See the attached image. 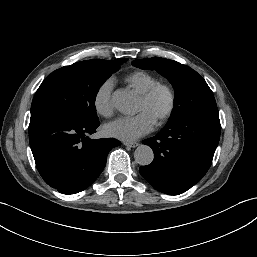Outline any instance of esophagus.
<instances>
[{
	"label": "esophagus",
	"instance_id": "obj_1",
	"mask_svg": "<svg viewBox=\"0 0 257 257\" xmlns=\"http://www.w3.org/2000/svg\"><path fill=\"white\" fill-rule=\"evenodd\" d=\"M123 144L127 147H130V148H135L139 145L138 142H123Z\"/></svg>",
	"mask_w": 257,
	"mask_h": 257
}]
</instances>
